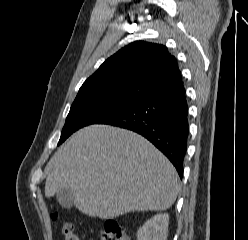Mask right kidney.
Returning <instances> with one entry per match:
<instances>
[{
    "mask_svg": "<svg viewBox=\"0 0 248 240\" xmlns=\"http://www.w3.org/2000/svg\"><path fill=\"white\" fill-rule=\"evenodd\" d=\"M169 215L157 214L146 221L137 231V240H166Z\"/></svg>",
    "mask_w": 248,
    "mask_h": 240,
    "instance_id": "1",
    "label": "right kidney"
}]
</instances>
